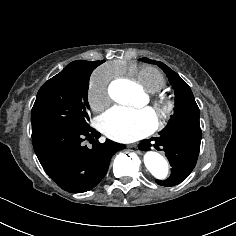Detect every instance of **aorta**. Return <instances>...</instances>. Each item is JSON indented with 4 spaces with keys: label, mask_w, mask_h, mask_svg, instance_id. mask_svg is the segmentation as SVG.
<instances>
[{
    "label": "aorta",
    "mask_w": 236,
    "mask_h": 236,
    "mask_svg": "<svg viewBox=\"0 0 236 236\" xmlns=\"http://www.w3.org/2000/svg\"><path fill=\"white\" fill-rule=\"evenodd\" d=\"M135 85L130 81H121L111 87V95L120 102L130 103L135 98ZM144 164L148 171L157 179L164 180L168 176L169 166L165 158L155 151H147Z\"/></svg>",
    "instance_id": "aorta-1"
}]
</instances>
